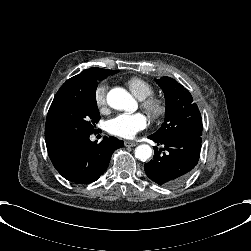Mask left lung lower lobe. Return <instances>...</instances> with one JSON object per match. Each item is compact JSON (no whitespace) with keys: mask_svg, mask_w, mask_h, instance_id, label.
<instances>
[{"mask_svg":"<svg viewBox=\"0 0 251 251\" xmlns=\"http://www.w3.org/2000/svg\"><path fill=\"white\" fill-rule=\"evenodd\" d=\"M164 145L161 150L154 147L153 159L144 165L146 175L158 185L167 187L182 183L197 165L201 150V135L190 134L160 140L153 135L148 137Z\"/></svg>","mask_w":251,"mask_h":251,"instance_id":"1","label":"left lung lower lobe"}]
</instances>
